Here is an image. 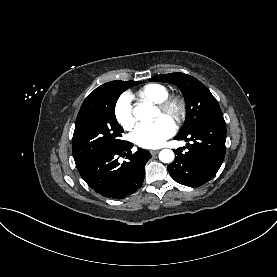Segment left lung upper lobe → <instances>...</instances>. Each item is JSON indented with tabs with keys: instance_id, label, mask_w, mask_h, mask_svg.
Returning <instances> with one entry per match:
<instances>
[{
	"instance_id": "5c2ea615",
	"label": "left lung upper lobe",
	"mask_w": 277,
	"mask_h": 277,
	"mask_svg": "<svg viewBox=\"0 0 277 277\" xmlns=\"http://www.w3.org/2000/svg\"><path fill=\"white\" fill-rule=\"evenodd\" d=\"M149 81L167 82L176 85L184 94L187 103V117L177 136L188 134L204 119L222 113L217 100L195 77L184 73L156 75Z\"/></svg>"
}]
</instances>
